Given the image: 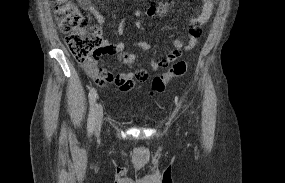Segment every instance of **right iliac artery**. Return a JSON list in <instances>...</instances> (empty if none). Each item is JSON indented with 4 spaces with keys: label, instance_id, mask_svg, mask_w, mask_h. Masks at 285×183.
Instances as JSON below:
<instances>
[{
    "label": "right iliac artery",
    "instance_id": "obj_1",
    "mask_svg": "<svg viewBox=\"0 0 285 183\" xmlns=\"http://www.w3.org/2000/svg\"><path fill=\"white\" fill-rule=\"evenodd\" d=\"M97 98V92L94 88L90 90L89 93V102H90V112L88 116V122H87V129H88V134L91 135L94 131V126H95V110H94V105L95 101Z\"/></svg>",
    "mask_w": 285,
    "mask_h": 183
}]
</instances>
